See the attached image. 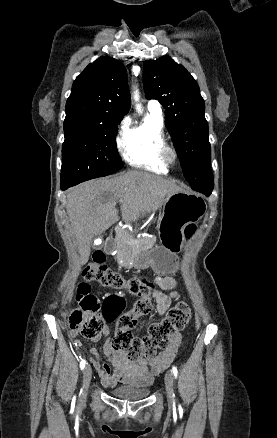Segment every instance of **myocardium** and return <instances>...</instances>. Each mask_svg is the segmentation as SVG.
I'll list each match as a JSON object with an SVG mask.
<instances>
[{
  "mask_svg": "<svg viewBox=\"0 0 277 438\" xmlns=\"http://www.w3.org/2000/svg\"><path fill=\"white\" fill-rule=\"evenodd\" d=\"M159 159L167 167L173 166L178 160V152L169 143L163 144L159 149Z\"/></svg>",
  "mask_w": 277,
  "mask_h": 438,
  "instance_id": "obj_1",
  "label": "myocardium"
}]
</instances>
